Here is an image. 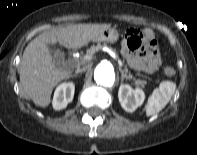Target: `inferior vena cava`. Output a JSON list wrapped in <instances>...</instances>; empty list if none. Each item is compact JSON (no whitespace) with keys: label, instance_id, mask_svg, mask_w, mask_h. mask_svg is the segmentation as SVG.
Here are the masks:
<instances>
[{"label":"inferior vena cava","instance_id":"inferior-vena-cava-1","mask_svg":"<svg viewBox=\"0 0 197 155\" xmlns=\"http://www.w3.org/2000/svg\"><path fill=\"white\" fill-rule=\"evenodd\" d=\"M87 66H84V67H82V68H77L76 69V73H80V72H83V71H85V70H87Z\"/></svg>","mask_w":197,"mask_h":155}]
</instances>
